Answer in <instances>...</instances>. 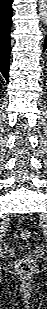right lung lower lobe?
<instances>
[{
  "label": "right lung lower lobe",
  "mask_w": 47,
  "mask_h": 309,
  "mask_svg": "<svg viewBox=\"0 0 47 309\" xmlns=\"http://www.w3.org/2000/svg\"><path fill=\"white\" fill-rule=\"evenodd\" d=\"M12 0H0V72L8 81Z\"/></svg>",
  "instance_id": "1"
}]
</instances>
